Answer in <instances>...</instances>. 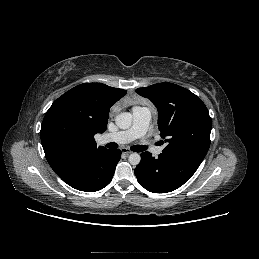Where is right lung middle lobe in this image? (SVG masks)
Listing matches in <instances>:
<instances>
[{
    "instance_id": "right-lung-middle-lobe-1",
    "label": "right lung middle lobe",
    "mask_w": 259,
    "mask_h": 259,
    "mask_svg": "<svg viewBox=\"0 0 259 259\" xmlns=\"http://www.w3.org/2000/svg\"><path fill=\"white\" fill-rule=\"evenodd\" d=\"M49 137L51 139L64 142L70 138V133L62 126H53L49 131Z\"/></svg>"
}]
</instances>
